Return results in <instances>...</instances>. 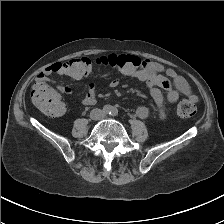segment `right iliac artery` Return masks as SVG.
Returning <instances> with one entry per match:
<instances>
[{"label":"right iliac artery","instance_id":"82829eb1","mask_svg":"<svg viewBox=\"0 0 224 224\" xmlns=\"http://www.w3.org/2000/svg\"><path fill=\"white\" fill-rule=\"evenodd\" d=\"M111 111H112V107H111L110 105H105V106L103 107V112H104L105 114H110Z\"/></svg>","mask_w":224,"mask_h":224}]
</instances>
